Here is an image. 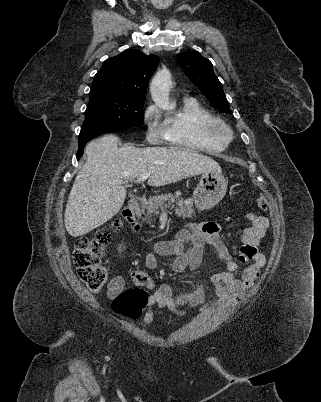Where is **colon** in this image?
<instances>
[{
  "instance_id": "colon-1",
  "label": "colon",
  "mask_w": 321,
  "mask_h": 402,
  "mask_svg": "<svg viewBox=\"0 0 321 402\" xmlns=\"http://www.w3.org/2000/svg\"><path fill=\"white\" fill-rule=\"evenodd\" d=\"M257 205L264 211L269 208V202L264 196L257 198ZM121 228V219H115L107 229L99 231L94 238H79L75 242L74 265L78 277L91 291L101 290L108 280V270L101 263V257L112 240V233ZM148 301L149 294L145 289L133 287L117 295L112 306L116 314L130 320H138Z\"/></svg>"
}]
</instances>
